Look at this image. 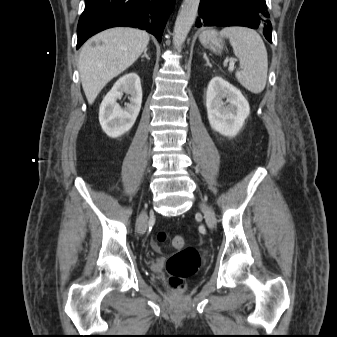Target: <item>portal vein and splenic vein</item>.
Wrapping results in <instances>:
<instances>
[{
	"mask_svg": "<svg viewBox=\"0 0 337 337\" xmlns=\"http://www.w3.org/2000/svg\"><path fill=\"white\" fill-rule=\"evenodd\" d=\"M234 64H235L234 59H230V63H229V70H230V71H233V70H234Z\"/></svg>",
	"mask_w": 337,
	"mask_h": 337,
	"instance_id": "portal-vein-and-splenic-vein-1",
	"label": "portal vein and splenic vein"
}]
</instances>
